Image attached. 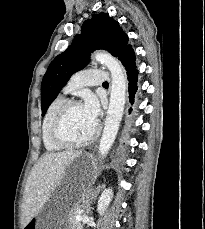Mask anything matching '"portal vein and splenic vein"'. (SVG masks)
<instances>
[{
    "label": "portal vein and splenic vein",
    "instance_id": "obj_1",
    "mask_svg": "<svg viewBox=\"0 0 205 229\" xmlns=\"http://www.w3.org/2000/svg\"><path fill=\"white\" fill-rule=\"evenodd\" d=\"M76 220H81V216H76Z\"/></svg>",
    "mask_w": 205,
    "mask_h": 229
}]
</instances>
